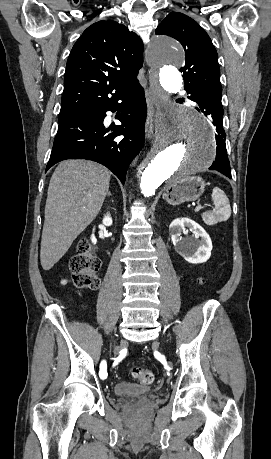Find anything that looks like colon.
I'll use <instances>...</instances> for the list:
<instances>
[{"mask_svg":"<svg viewBox=\"0 0 271 459\" xmlns=\"http://www.w3.org/2000/svg\"><path fill=\"white\" fill-rule=\"evenodd\" d=\"M77 4L79 0H72ZM94 246L87 240L78 242L76 254L70 259L69 267L74 285L81 290H95L99 286L97 271L101 262L95 255ZM130 373L134 379L143 385H151L154 382V374L151 370L134 366Z\"/></svg>","mask_w":271,"mask_h":459,"instance_id":"5ec220e1","label":"colon"}]
</instances>
